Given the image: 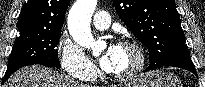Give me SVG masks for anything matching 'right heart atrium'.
Returning <instances> with one entry per match:
<instances>
[{"mask_svg":"<svg viewBox=\"0 0 205 87\" xmlns=\"http://www.w3.org/2000/svg\"><path fill=\"white\" fill-rule=\"evenodd\" d=\"M57 55L62 68L70 77L87 80L96 75L93 63L80 46L66 34L59 39Z\"/></svg>","mask_w":205,"mask_h":87,"instance_id":"d8ad5b80","label":"right heart atrium"}]
</instances>
